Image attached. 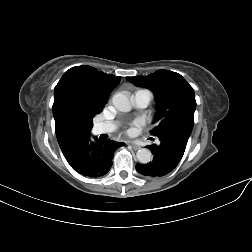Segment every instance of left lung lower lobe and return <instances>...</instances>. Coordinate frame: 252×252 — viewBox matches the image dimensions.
<instances>
[{
  "instance_id": "obj_1",
  "label": "left lung lower lobe",
  "mask_w": 252,
  "mask_h": 252,
  "mask_svg": "<svg viewBox=\"0 0 252 252\" xmlns=\"http://www.w3.org/2000/svg\"><path fill=\"white\" fill-rule=\"evenodd\" d=\"M160 144L148 145L152 162L136 164V170L147 177H161L173 171L183 157L189 135L171 132L159 137Z\"/></svg>"
}]
</instances>
